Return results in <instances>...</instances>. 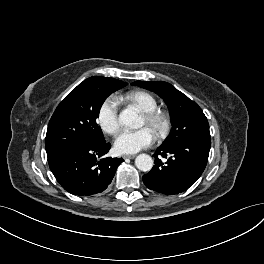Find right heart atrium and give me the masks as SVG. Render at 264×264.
Listing matches in <instances>:
<instances>
[{"label":"right heart atrium","mask_w":264,"mask_h":264,"mask_svg":"<svg viewBox=\"0 0 264 264\" xmlns=\"http://www.w3.org/2000/svg\"><path fill=\"white\" fill-rule=\"evenodd\" d=\"M97 122L100 128L108 134H115L119 130V104L117 98L109 96L102 101L97 111Z\"/></svg>","instance_id":"obj_1"}]
</instances>
